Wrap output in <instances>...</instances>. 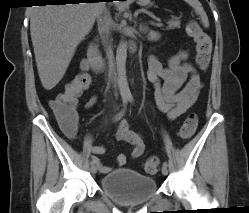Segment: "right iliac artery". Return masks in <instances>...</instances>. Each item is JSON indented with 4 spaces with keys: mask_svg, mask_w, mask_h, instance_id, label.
<instances>
[{
    "mask_svg": "<svg viewBox=\"0 0 249 213\" xmlns=\"http://www.w3.org/2000/svg\"><path fill=\"white\" fill-rule=\"evenodd\" d=\"M123 104H124V107H126V104H127V100L126 99L123 100ZM124 113H125V108L120 113H118V115H116V117H115L114 120L117 121L120 118H122V116L124 115ZM95 163H96L95 160L91 161V165H94Z\"/></svg>",
    "mask_w": 249,
    "mask_h": 213,
    "instance_id": "obj_1",
    "label": "right iliac artery"
}]
</instances>
